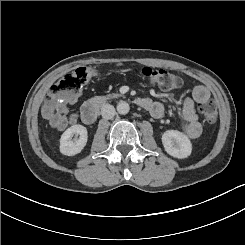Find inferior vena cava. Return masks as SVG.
<instances>
[{
  "label": "inferior vena cava",
  "mask_w": 245,
  "mask_h": 245,
  "mask_svg": "<svg viewBox=\"0 0 245 245\" xmlns=\"http://www.w3.org/2000/svg\"><path fill=\"white\" fill-rule=\"evenodd\" d=\"M115 115V108L110 104H105L101 108V116L104 119H111Z\"/></svg>",
  "instance_id": "1"
}]
</instances>
